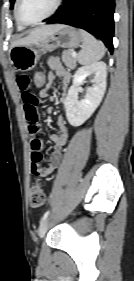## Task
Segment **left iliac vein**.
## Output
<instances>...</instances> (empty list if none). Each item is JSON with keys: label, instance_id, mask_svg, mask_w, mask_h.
<instances>
[{"label": "left iliac vein", "instance_id": "4c4485c4", "mask_svg": "<svg viewBox=\"0 0 134 281\" xmlns=\"http://www.w3.org/2000/svg\"><path fill=\"white\" fill-rule=\"evenodd\" d=\"M48 225H49V219L46 218V219L41 223V225H40V227H39V233H38V235H39L40 238H43V237H44V235H45V233H46V231H47V229H48Z\"/></svg>", "mask_w": 134, "mask_h": 281}]
</instances>
